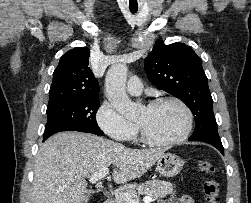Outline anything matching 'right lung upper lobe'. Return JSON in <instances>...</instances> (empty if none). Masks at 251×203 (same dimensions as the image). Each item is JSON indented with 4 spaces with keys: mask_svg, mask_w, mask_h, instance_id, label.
<instances>
[{
    "mask_svg": "<svg viewBox=\"0 0 251 203\" xmlns=\"http://www.w3.org/2000/svg\"><path fill=\"white\" fill-rule=\"evenodd\" d=\"M90 50L77 47L66 52L53 73L48 107L99 96V84L89 65Z\"/></svg>",
    "mask_w": 251,
    "mask_h": 203,
    "instance_id": "right-lung-upper-lobe-1",
    "label": "right lung upper lobe"
}]
</instances>
